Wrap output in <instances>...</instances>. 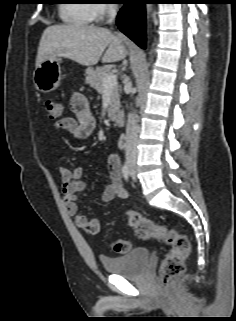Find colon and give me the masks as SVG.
I'll use <instances>...</instances> for the list:
<instances>
[{"label":"colon","mask_w":236,"mask_h":321,"mask_svg":"<svg viewBox=\"0 0 236 321\" xmlns=\"http://www.w3.org/2000/svg\"><path fill=\"white\" fill-rule=\"evenodd\" d=\"M45 109L52 120H58L62 115V106L55 100H47ZM126 216L130 227L139 239H157L169 246L170 249L159 269L163 285L168 286L184 272L185 258L191 247L189 240L176 230L157 225L151 219L135 211L127 210ZM111 248L117 253L125 254L130 250V243L125 239H117L112 242Z\"/></svg>","instance_id":"1"}]
</instances>
